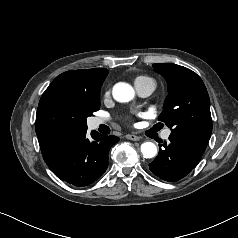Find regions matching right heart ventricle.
<instances>
[{
  "mask_svg": "<svg viewBox=\"0 0 238 238\" xmlns=\"http://www.w3.org/2000/svg\"><path fill=\"white\" fill-rule=\"evenodd\" d=\"M145 83H153V84H155V81L151 77L145 76V75L137 76L134 79L135 86L141 85V84H145Z\"/></svg>",
  "mask_w": 238,
  "mask_h": 238,
  "instance_id": "e07e8e85",
  "label": "right heart ventricle"
}]
</instances>
